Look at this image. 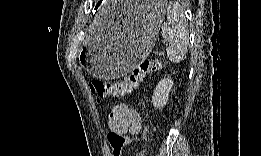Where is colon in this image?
Masks as SVG:
<instances>
[{"mask_svg":"<svg viewBox=\"0 0 261 156\" xmlns=\"http://www.w3.org/2000/svg\"><path fill=\"white\" fill-rule=\"evenodd\" d=\"M161 68L159 60H143L130 73V75L121 82H107L103 80L93 79L89 86L92 93L98 98L102 99L107 96L124 97L131 93L143 80L146 73L157 72ZM148 127L145 126L141 134L135 137H125L116 132H110L107 135V140L113 156H120L122 150L137 142L143 143L147 138ZM142 154V152L140 153Z\"/></svg>","mask_w":261,"mask_h":156,"instance_id":"obj_1","label":"colon"}]
</instances>
